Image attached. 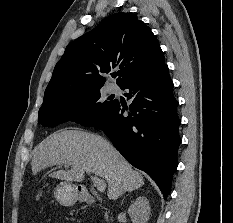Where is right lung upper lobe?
<instances>
[{
	"instance_id": "obj_1",
	"label": "right lung upper lobe",
	"mask_w": 233,
	"mask_h": 223,
	"mask_svg": "<svg viewBox=\"0 0 233 223\" xmlns=\"http://www.w3.org/2000/svg\"><path fill=\"white\" fill-rule=\"evenodd\" d=\"M164 63L156 36L131 13H115L82 35L65 50L44 94L43 105L67 96L101 88L104 77L119 68L117 84Z\"/></svg>"
}]
</instances>
